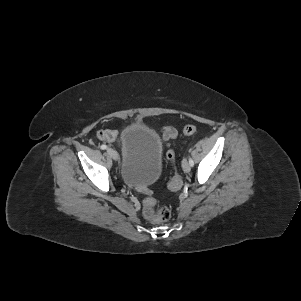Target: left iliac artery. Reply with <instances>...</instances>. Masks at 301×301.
I'll list each match as a JSON object with an SVG mask.
<instances>
[{
	"instance_id": "left-iliac-artery-1",
	"label": "left iliac artery",
	"mask_w": 301,
	"mask_h": 301,
	"mask_svg": "<svg viewBox=\"0 0 301 301\" xmlns=\"http://www.w3.org/2000/svg\"><path fill=\"white\" fill-rule=\"evenodd\" d=\"M189 164H190V166H194V162L191 157H189Z\"/></svg>"
}]
</instances>
